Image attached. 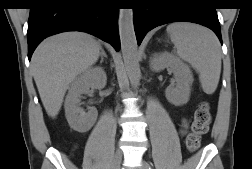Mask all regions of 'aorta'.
Wrapping results in <instances>:
<instances>
[{"instance_id":"aorta-1","label":"aorta","mask_w":252,"mask_h":169,"mask_svg":"<svg viewBox=\"0 0 252 169\" xmlns=\"http://www.w3.org/2000/svg\"><path fill=\"white\" fill-rule=\"evenodd\" d=\"M135 52V39L130 30H126L123 33V56L127 61L126 71L128 81L133 93H137L140 85V71L132 64V60Z\"/></svg>"}]
</instances>
